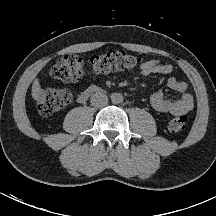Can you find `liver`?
<instances>
[{
	"label": "liver",
	"mask_w": 216,
	"mask_h": 216,
	"mask_svg": "<svg viewBox=\"0 0 216 216\" xmlns=\"http://www.w3.org/2000/svg\"><path fill=\"white\" fill-rule=\"evenodd\" d=\"M41 96V86L38 79H35L32 85V97L38 101Z\"/></svg>",
	"instance_id": "1"
}]
</instances>
